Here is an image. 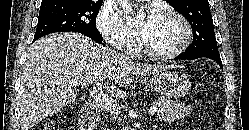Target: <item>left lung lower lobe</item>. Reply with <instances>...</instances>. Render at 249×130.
I'll return each mask as SVG.
<instances>
[{"label": "left lung lower lobe", "instance_id": "0a47b994", "mask_svg": "<svg viewBox=\"0 0 249 130\" xmlns=\"http://www.w3.org/2000/svg\"><path fill=\"white\" fill-rule=\"evenodd\" d=\"M202 57L210 58L214 60L222 68V62H221L220 55L215 56V55H208V54H203V53H183L175 57V60H192V59H198Z\"/></svg>", "mask_w": 249, "mask_h": 130}]
</instances>
